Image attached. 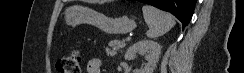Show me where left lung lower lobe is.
<instances>
[{
	"mask_svg": "<svg viewBox=\"0 0 244 73\" xmlns=\"http://www.w3.org/2000/svg\"><path fill=\"white\" fill-rule=\"evenodd\" d=\"M172 13L186 27L190 22L197 0H137Z\"/></svg>",
	"mask_w": 244,
	"mask_h": 73,
	"instance_id": "0a47b994",
	"label": "left lung lower lobe"
}]
</instances>
